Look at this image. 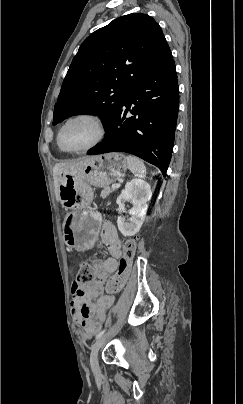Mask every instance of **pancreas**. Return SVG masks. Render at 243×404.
Instances as JSON below:
<instances>
[{
	"label": "pancreas",
	"instance_id": "cf45deb5",
	"mask_svg": "<svg viewBox=\"0 0 243 404\" xmlns=\"http://www.w3.org/2000/svg\"><path fill=\"white\" fill-rule=\"evenodd\" d=\"M116 188H110V186H105L101 192V198H106V196H109L110 192H115Z\"/></svg>",
	"mask_w": 243,
	"mask_h": 404
}]
</instances>
